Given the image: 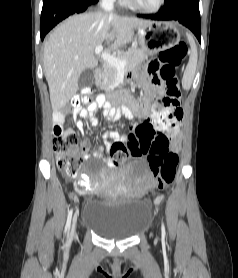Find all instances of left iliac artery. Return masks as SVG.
Returning <instances> with one entry per match:
<instances>
[{
    "mask_svg": "<svg viewBox=\"0 0 238 278\" xmlns=\"http://www.w3.org/2000/svg\"><path fill=\"white\" fill-rule=\"evenodd\" d=\"M166 235L164 223H162V236Z\"/></svg>",
    "mask_w": 238,
    "mask_h": 278,
    "instance_id": "44dca946",
    "label": "left iliac artery"
}]
</instances>
